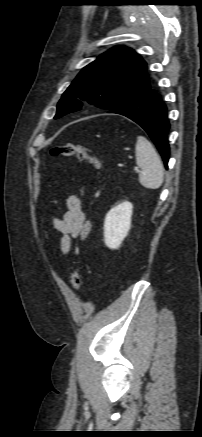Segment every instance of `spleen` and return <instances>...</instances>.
Segmentation results:
<instances>
[{
    "instance_id": "spleen-1",
    "label": "spleen",
    "mask_w": 202,
    "mask_h": 437,
    "mask_svg": "<svg viewBox=\"0 0 202 437\" xmlns=\"http://www.w3.org/2000/svg\"><path fill=\"white\" fill-rule=\"evenodd\" d=\"M136 164L141 169L139 182L147 189H158L164 180V168L152 144L143 136L137 137Z\"/></svg>"
}]
</instances>
